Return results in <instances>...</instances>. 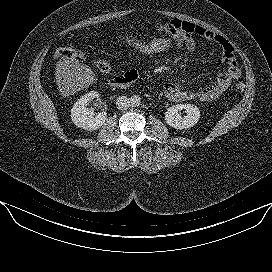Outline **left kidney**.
<instances>
[{
    "mask_svg": "<svg viewBox=\"0 0 272 272\" xmlns=\"http://www.w3.org/2000/svg\"><path fill=\"white\" fill-rule=\"evenodd\" d=\"M185 109L187 115L182 117L179 111ZM200 119L199 108L193 104H177L167 109L165 121L175 129H187L193 127Z\"/></svg>",
    "mask_w": 272,
    "mask_h": 272,
    "instance_id": "1",
    "label": "left kidney"
}]
</instances>
